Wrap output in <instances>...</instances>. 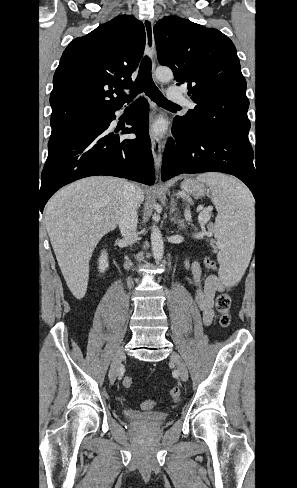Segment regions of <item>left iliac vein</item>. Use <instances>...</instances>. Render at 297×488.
Here are the masks:
<instances>
[{
  "mask_svg": "<svg viewBox=\"0 0 297 488\" xmlns=\"http://www.w3.org/2000/svg\"><path fill=\"white\" fill-rule=\"evenodd\" d=\"M170 360L172 363L175 364L181 380L187 381L188 370H187V367H186L184 361L182 360L181 356L176 352H172L171 356H170Z\"/></svg>",
  "mask_w": 297,
  "mask_h": 488,
  "instance_id": "4c4485c4",
  "label": "left iliac vein"
}]
</instances>
